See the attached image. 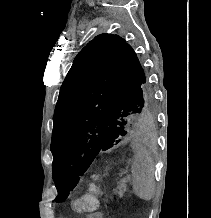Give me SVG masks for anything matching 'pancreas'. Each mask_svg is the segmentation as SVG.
<instances>
[{
	"label": "pancreas",
	"instance_id": "pancreas-1",
	"mask_svg": "<svg viewBox=\"0 0 211 218\" xmlns=\"http://www.w3.org/2000/svg\"><path fill=\"white\" fill-rule=\"evenodd\" d=\"M127 180H121V182H118V186L116 190H114L115 194H119L120 198L124 196L126 190H127Z\"/></svg>",
	"mask_w": 211,
	"mask_h": 218
}]
</instances>
